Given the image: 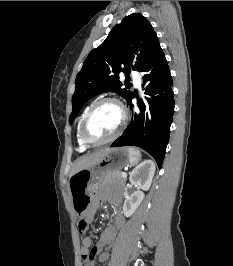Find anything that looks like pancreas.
Returning a JSON list of instances; mask_svg holds the SVG:
<instances>
[{"mask_svg": "<svg viewBox=\"0 0 233 266\" xmlns=\"http://www.w3.org/2000/svg\"><path fill=\"white\" fill-rule=\"evenodd\" d=\"M121 173V171L106 173L101 180V185L114 184L123 186L126 182V178H123Z\"/></svg>", "mask_w": 233, "mask_h": 266, "instance_id": "obj_1", "label": "pancreas"}]
</instances>
